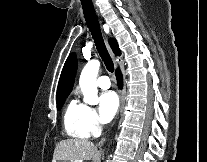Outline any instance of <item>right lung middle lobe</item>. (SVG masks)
I'll use <instances>...</instances> for the list:
<instances>
[{"label":"right lung middle lobe","instance_id":"1","mask_svg":"<svg viewBox=\"0 0 207 162\" xmlns=\"http://www.w3.org/2000/svg\"><path fill=\"white\" fill-rule=\"evenodd\" d=\"M65 99H66V97L57 100V107H58V110H60V109L62 108Z\"/></svg>","mask_w":207,"mask_h":162}]
</instances>
